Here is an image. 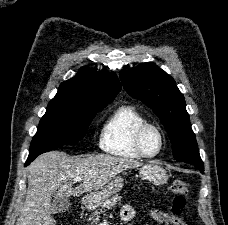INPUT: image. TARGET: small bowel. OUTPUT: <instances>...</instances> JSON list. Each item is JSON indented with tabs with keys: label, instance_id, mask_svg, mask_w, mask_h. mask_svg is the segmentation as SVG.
Returning <instances> with one entry per match:
<instances>
[{
	"label": "small bowel",
	"instance_id": "small-bowel-1",
	"mask_svg": "<svg viewBox=\"0 0 228 225\" xmlns=\"http://www.w3.org/2000/svg\"><path fill=\"white\" fill-rule=\"evenodd\" d=\"M121 215L125 221H131L135 217V210L131 205H125ZM151 217L162 225H181V222H183L180 218H175L169 213L159 209H153L151 211Z\"/></svg>",
	"mask_w": 228,
	"mask_h": 225
}]
</instances>
